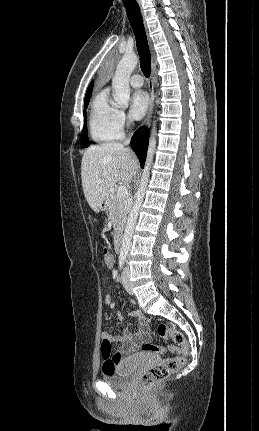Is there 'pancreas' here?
Segmentation results:
<instances>
[{
  "label": "pancreas",
  "instance_id": "pancreas-1",
  "mask_svg": "<svg viewBox=\"0 0 259 431\" xmlns=\"http://www.w3.org/2000/svg\"><path fill=\"white\" fill-rule=\"evenodd\" d=\"M108 212L109 218L112 220L114 227V234H119L125 224L127 217V198L119 197L117 190L114 189L108 198Z\"/></svg>",
  "mask_w": 259,
  "mask_h": 431
}]
</instances>
